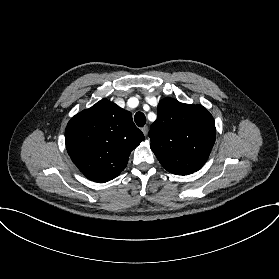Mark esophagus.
<instances>
[{"instance_id":"1","label":"esophagus","mask_w":279,"mask_h":279,"mask_svg":"<svg viewBox=\"0 0 279 279\" xmlns=\"http://www.w3.org/2000/svg\"><path fill=\"white\" fill-rule=\"evenodd\" d=\"M148 131H149L148 126H144V127L142 128V132H143V134H144L145 136H147Z\"/></svg>"}]
</instances>
